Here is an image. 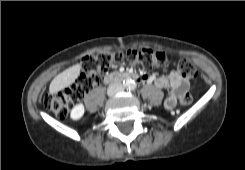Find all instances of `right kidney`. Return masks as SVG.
Returning a JSON list of instances; mask_svg holds the SVG:
<instances>
[{"label": "right kidney", "mask_w": 245, "mask_h": 170, "mask_svg": "<svg viewBox=\"0 0 245 170\" xmlns=\"http://www.w3.org/2000/svg\"><path fill=\"white\" fill-rule=\"evenodd\" d=\"M84 111H85L84 105L81 104V103L80 104H77L71 110V113H70L71 119H73V120H79L84 115Z\"/></svg>", "instance_id": "right-kidney-1"}]
</instances>
